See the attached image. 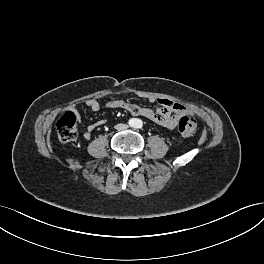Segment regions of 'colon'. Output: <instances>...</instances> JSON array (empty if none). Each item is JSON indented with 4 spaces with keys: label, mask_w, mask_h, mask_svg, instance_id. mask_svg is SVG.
<instances>
[{
    "label": "colon",
    "mask_w": 264,
    "mask_h": 264,
    "mask_svg": "<svg viewBox=\"0 0 264 264\" xmlns=\"http://www.w3.org/2000/svg\"><path fill=\"white\" fill-rule=\"evenodd\" d=\"M77 117L72 111L65 112L57 121L56 129L61 143L69 144L77 137L76 127ZM179 132L182 136L193 137L197 131V122L194 118L183 116L178 124Z\"/></svg>",
    "instance_id": "1"
}]
</instances>
